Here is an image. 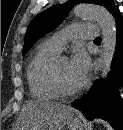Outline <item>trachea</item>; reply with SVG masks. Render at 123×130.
I'll return each instance as SVG.
<instances>
[{"label":"trachea","instance_id":"1","mask_svg":"<svg viewBox=\"0 0 123 130\" xmlns=\"http://www.w3.org/2000/svg\"><path fill=\"white\" fill-rule=\"evenodd\" d=\"M94 41H101V38L97 37V38L94 39Z\"/></svg>","mask_w":123,"mask_h":130}]
</instances>
